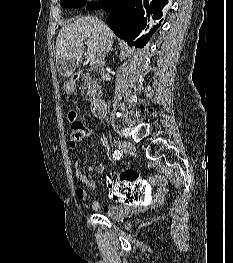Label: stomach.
I'll use <instances>...</instances> for the list:
<instances>
[{
    "mask_svg": "<svg viewBox=\"0 0 233 263\" xmlns=\"http://www.w3.org/2000/svg\"><path fill=\"white\" fill-rule=\"evenodd\" d=\"M74 88L75 83L72 80H68L64 85V89L67 93H72L74 91Z\"/></svg>",
    "mask_w": 233,
    "mask_h": 263,
    "instance_id": "0dacf381",
    "label": "stomach"
}]
</instances>
